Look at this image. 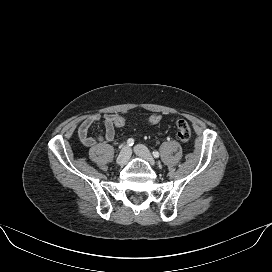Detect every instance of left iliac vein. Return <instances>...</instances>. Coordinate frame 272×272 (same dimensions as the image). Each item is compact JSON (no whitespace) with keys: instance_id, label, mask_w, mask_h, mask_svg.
Wrapping results in <instances>:
<instances>
[{"instance_id":"4c4485c4","label":"left iliac vein","mask_w":272,"mask_h":272,"mask_svg":"<svg viewBox=\"0 0 272 272\" xmlns=\"http://www.w3.org/2000/svg\"><path fill=\"white\" fill-rule=\"evenodd\" d=\"M134 152L141 157L142 159H144L145 161H147L151 166H155V160L152 157L150 151L147 149V147H145L142 144H138L134 147Z\"/></svg>"}]
</instances>
